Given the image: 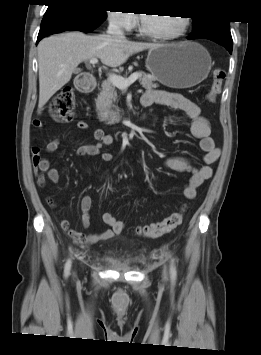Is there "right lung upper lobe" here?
I'll return each mask as SVG.
<instances>
[{
	"mask_svg": "<svg viewBox=\"0 0 261 355\" xmlns=\"http://www.w3.org/2000/svg\"><path fill=\"white\" fill-rule=\"evenodd\" d=\"M49 3L52 4H59V3H65V2H76V1H81V0H48Z\"/></svg>",
	"mask_w": 261,
	"mask_h": 355,
	"instance_id": "cb5924a9",
	"label": "right lung upper lobe"
}]
</instances>
